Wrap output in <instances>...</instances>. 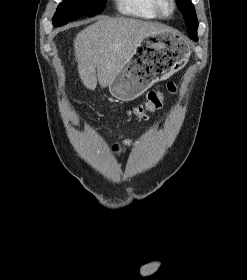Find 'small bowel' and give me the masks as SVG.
<instances>
[{
  "label": "small bowel",
  "instance_id": "c3829d8e",
  "mask_svg": "<svg viewBox=\"0 0 247 280\" xmlns=\"http://www.w3.org/2000/svg\"><path fill=\"white\" fill-rule=\"evenodd\" d=\"M125 142H126V143H130V140L126 139Z\"/></svg>",
  "mask_w": 247,
  "mask_h": 280
}]
</instances>
